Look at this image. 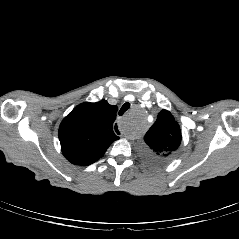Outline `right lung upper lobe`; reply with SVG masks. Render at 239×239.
I'll use <instances>...</instances> for the list:
<instances>
[{
    "label": "right lung upper lobe",
    "mask_w": 239,
    "mask_h": 239,
    "mask_svg": "<svg viewBox=\"0 0 239 239\" xmlns=\"http://www.w3.org/2000/svg\"><path fill=\"white\" fill-rule=\"evenodd\" d=\"M117 106L106 100L76 106L59 127L64 156L75 165H90L100 159L119 137L113 131Z\"/></svg>",
    "instance_id": "right-lung-upper-lobe-1"
}]
</instances>
